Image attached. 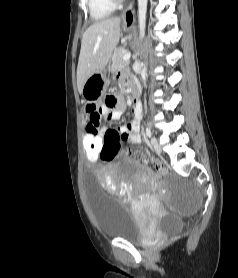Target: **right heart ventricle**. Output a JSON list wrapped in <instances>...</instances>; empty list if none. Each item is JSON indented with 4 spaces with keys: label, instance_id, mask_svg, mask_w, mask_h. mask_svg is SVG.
<instances>
[{
    "label": "right heart ventricle",
    "instance_id": "e07e8e85",
    "mask_svg": "<svg viewBox=\"0 0 238 278\" xmlns=\"http://www.w3.org/2000/svg\"><path fill=\"white\" fill-rule=\"evenodd\" d=\"M90 16L99 21L109 17L115 9L110 0H87Z\"/></svg>",
    "mask_w": 238,
    "mask_h": 278
}]
</instances>
